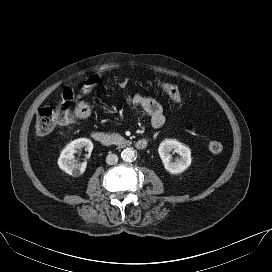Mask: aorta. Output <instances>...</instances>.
Here are the masks:
<instances>
[{"mask_svg":"<svg viewBox=\"0 0 272 272\" xmlns=\"http://www.w3.org/2000/svg\"><path fill=\"white\" fill-rule=\"evenodd\" d=\"M136 152L133 148H125L121 153V158L125 162H131L135 159Z\"/></svg>","mask_w":272,"mask_h":272,"instance_id":"762f6f07","label":"aorta"}]
</instances>
